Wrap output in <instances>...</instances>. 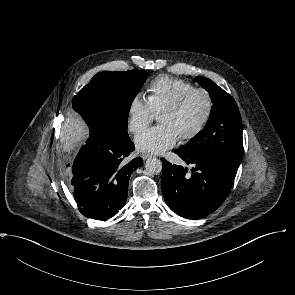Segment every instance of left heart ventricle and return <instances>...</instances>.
<instances>
[{
	"label": "left heart ventricle",
	"instance_id": "b2bd125f",
	"mask_svg": "<svg viewBox=\"0 0 295 295\" xmlns=\"http://www.w3.org/2000/svg\"><path fill=\"white\" fill-rule=\"evenodd\" d=\"M206 112V100L202 94H196L179 113L160 116L162 125L172 127L179 136L192 131Z\"/></svg>",
	"mask_w": 295,
	"mask_h": 295
}]
</instances>
